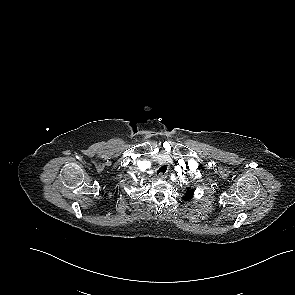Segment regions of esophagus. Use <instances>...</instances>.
<instances>
[{"label": "esophagus", "instance_id": "esophagus-1", "mask_svg": "<svg viewBox=\"0 0 295 295\" xmlns=\"http://www.w3.org/2000/svg\"><path fill=\"white\" fill-rule=\"evenodd\" d=\"M157 178L158 179H166L167 178V175L166 174H159L158 176H157Z\"/></svg>", "mask_w": 295, "mask_h": 295}]
</instances>
